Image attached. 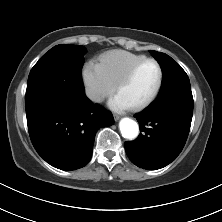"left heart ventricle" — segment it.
Returning <instances> with one entry per match:
<instances>
[{
    "label": "left heart ventricle",
    "instance_id": "obj_1",
    "mask_svg": "<svg viewBox=\"0 0 222 222\" xmlns=\"http://www.w3.org/2000/svg\"><path fill=\"white\" fill-rule=\"evenodd\" d=\"M158 82V69L153 63L142 65L131 81L117 93L121 94L131 106L145 101L154 91Z\"/></svg>",
    "mask_w": 222,
    "mask_h": 222
}]
</instances>
